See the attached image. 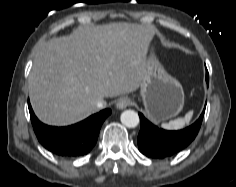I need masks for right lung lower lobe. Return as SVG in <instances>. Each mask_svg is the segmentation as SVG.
<instances>
[{
    "mask_svg": "<svg viewBox=\"0 0 236 187\" xmlns=\"http://www.w3.org/2000/svg\"><path fill=\"white\" fill-rule=\"evenodd\" d=\"M28 106L33 129L39 142L50 152L64 158L88 154L96 144L102 123L111 114L110 109H104L77 124L52 127L37 119L29 101Z\"/></svg>",
    "mask_w": 236,
    "mask_h": 187,
    "instance_id": "98d812e1",
    "label": "right lung lower lobe"
}]
</instances>
